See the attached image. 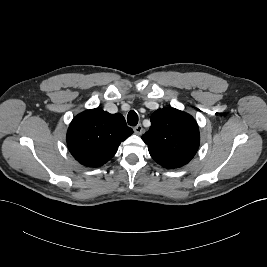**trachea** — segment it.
Instances as JSON below:
<instances>
[{
	"mask_svg": "<svg viewBox=\"0 0 267 267\" xmlns=\"http://www.w3.org/2000/svg\"><path fill=\"white\" fill-rule=\"evenodd\" d=\"M127 122L130 126H136L138 123V115L135 111L131 110L127 115Z\"/></svg>",
	"mask_w": 267,
	"mask_h": 267,
	"instance_id": "3493384b",
	"label": "trachea"
}]
</instances>
